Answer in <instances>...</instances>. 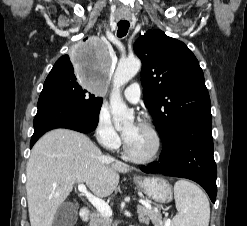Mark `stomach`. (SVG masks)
<instances>
[{"instance_id": "1", "label": "stomach", "mask_w": 247, "mask_h": 226, "mask_svg": "<svg viewBox=\"0 0 247 226\" xmlns=\"http://www.w3.org/2000/svg\"><path fill=\"white\" fill-rule=\"evenodd\" d=\"M137 188L145 193L150 199L167 203L172 200V187L161 177H134Z\"/></svg>"}]
</instances>
